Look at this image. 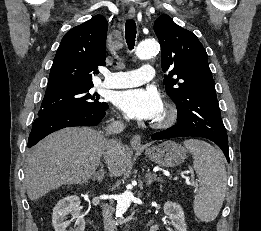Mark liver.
I'll use <instances>...</instances> for the list:
<instances>
[{"label": "liver", "mask_w": 261, "mask_h": 231, "mask_svg": "<svg viewBox=\"0 0 261 231\" xmlns=\"http://www.w3.org/2000/svg\"><path fill=\"white\" fill-rule=\"evenodd\" d=\"M106 142L100 131L88 127L65 128L41 140L25 164L28 197L35 201L62 185L86 183L95 174ZM107 163L113 176H121L128 165L126 148L121 144Z\"/></svg>", "instance_id": "obj_1"}]
</instances>
